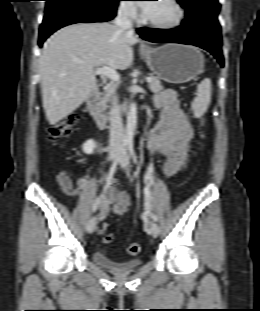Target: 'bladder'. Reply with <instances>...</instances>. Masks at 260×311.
Listing matches in <instances>:
<instances>
[{
    "label": "bladder",
    "mask_w": 260,
    "mask_h": 311,
    "mask_svg": "<svg viewBox=\"0 0 260 311\" xmlns=\"http://www.w3.org/2000/svg\"><path fill=\"white\" fill-rule=\"evenodd\" d=\"M93 261L101 267L110 270L112 272H124L136 270L142 264V259H128L120 262L112 260L108 253L101 249H95L92 252Z\"/></svg>",
    "instance_id": "31cf9c89"
}]
</instances>
